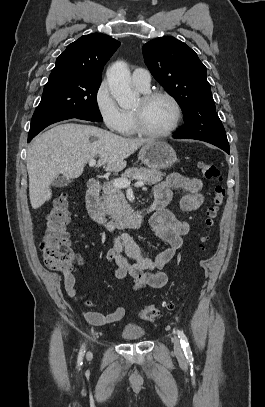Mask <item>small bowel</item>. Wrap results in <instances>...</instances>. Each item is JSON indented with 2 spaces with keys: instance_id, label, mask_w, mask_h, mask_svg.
<instances>
[{
  "instance_id": "c3829d8e",
  "label": "small bowel",
  "mask_w": 265,
  "mask_h": 407,
  "mask_svg": "<svg viewBox=\"0 0 265 407\" xmlns=\"http://www.w3.org/2000/svg\"><path fill=\"white\" fill-rule=\"evenodd\" d=\"M201 188L200 179L186 177L179 173H171L165 181L155 186L154 201H160L162 204L153 208L150 225L155 236L167 244V248L155 258L143 257L138 245L129 236H121L108 250L106 258L115 264L114 277L125 281L130 280L132 292L146 287L162 288L167 284L168 277L164 269L181 250L183 238L189 232V225L186 221L178 219L166 208V205L171 199L172 190H180L184 192L180 203L181 209L185 212H193L203 204L204 196ZM123 253L135 262L130 263ZM83 263V259L77 257V266L81 267ZM62 275L67 294L76 302L92 306L88 294L78 291L75 275L71 271H63ZM83 315L90 325L103 326L120 321L125 316V308L117 307L108 314L88 310Z\"/></svg>"
}]
</instances>
